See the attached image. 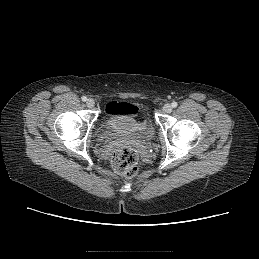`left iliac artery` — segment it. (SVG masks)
<instances>
[{
    "mask_svg": "<svg viewBox=\"0 0 259 259\" xmlns=\"http://www.w3.org/2000/svg\"><path fill=\"white\" fill-rule=\"evenodd\" d=\"M177 105H178V104H177V102H175V101H174V102H172V107H174V108H175V107H177Z\"/></svg>",
    "mask_w": 259,
    "mask_h": 259,
    "instance_id": "left-iliac-artery-1",
    "label": "left iliac artery"
}]
</instances>
